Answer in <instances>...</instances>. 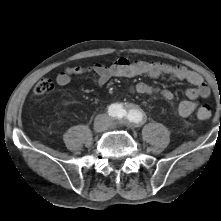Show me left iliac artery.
<instances>
[{"label": "left iliac artery", "instance_id": "left-iliac-artery-1", "mask_svg": "<svg viewBox=\"0 0 221 221\" xmlns=\"http://www.w3.org/2000/svg\"><path fill=\"white\" fill-rule=\"evenodd\" d=\"M127 118L130 122L139 124L144 121V114L139 109H132L127 114Z\"/></svg>", "mask_w": 221, "mask_h": 221}]
</instances>
